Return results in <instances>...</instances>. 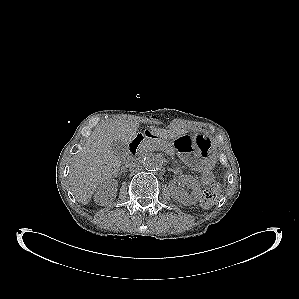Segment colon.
<instances>
[{
	"instance_id": "1",
	"label": "colon",
	"mask_w": 299,
	"mask_h": 299,
	"mask_svg": "<svg viewBox=\"0 0 299 299\" xmlns=\"http://www.w3.org/2000/svg\"><path fill=\"white\" fill-rule=\"evenodd\" d=\"M202 182L207 185L201 194V203L204 206H211L216 201L218 186L214 183V176L207 171L202 176Z\"/></svg>"
}]
</instances>
